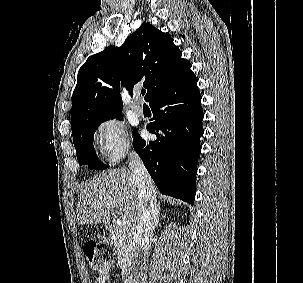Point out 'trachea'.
<instances>
[{"mask_svg": "<svg viewBox=\"0 0 303 283\" xmlns=\"http://www.w3.org/2000/svg\"><path fill=\"white\" fill-rule=\"evenodd\" d=\"M141 93H142V95H144L145 94V90H142Z\"/></svg>", "mask_w": 303, "mask_h": 283, "instance_id": "trachea-1", "label": "trachea"}]
</instances>
